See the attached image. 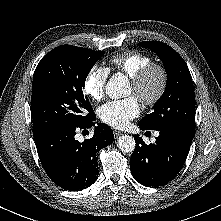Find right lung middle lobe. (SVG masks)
<instances>
[{"label": "right lung middle lobe", "mask_w": 221, "mask_h": 221, "mask_svg": "<svg viewBox=\"0 0 221 221\" xmlns=\"http://www.w3.org/2000/svg\"><path fill=\"white\" fill-rule=\"evenodd\" d=\"M103 55L104 51L61 45L43 57L33 75V134L55 126L80 125L94 116L83 88Z\"/></svg>", "instance_id": "right-lung-middle-lobe-1"}]
</instances>
